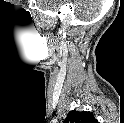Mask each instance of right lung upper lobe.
<instances>
[{
  "label": "right lung upper lobe",
  "instance_id": "right-lung-upper-lobe-1",
  "mask_svg": "<svg viewBox=\"0 0 124 123\" xmlns=\"http://www.w3.org/2000/svg\"><path fill=\"white\" fill-rule=\"evenodd\" d=\"M92 113L87 111H76L72 110L68 113L67 118L64 120V123H96Z\"/></svg>",
  "mask_w": 124,
  "mask_h": 123
}]
</instances>
